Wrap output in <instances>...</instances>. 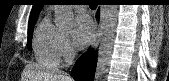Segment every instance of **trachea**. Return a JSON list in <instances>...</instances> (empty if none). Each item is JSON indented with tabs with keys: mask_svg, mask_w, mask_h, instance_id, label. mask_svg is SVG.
Wrapping results in <instances>:
<instances>
[{
	"mask_svg": "<svg viewBox=\"0 0 169 81\" xmlns=\"http://www.w3.org/2000/svg\"><path fill=\"white\" fill-rule=\"evenodd\" d=\"M81 3H84V2H81ZM81 5H84V4H81ZM89 6H90V8L94 9V8L97 7V4H96V2L91 1L90 4H89Z\"/></svg>",
	"mask_w": 169,
	"mask_h": 81,
	"instance_id": "1",
	"label": "trachea"
}]
</instances>
